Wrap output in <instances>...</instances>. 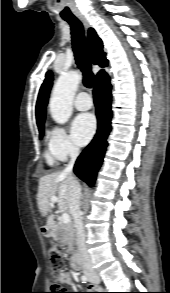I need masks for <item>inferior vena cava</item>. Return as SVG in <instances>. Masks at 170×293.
Returning <instances> with one entry per match:
<instances>
[{"mask_svg":"<svg viewBox=\"0 0 170 293\" xmlns=\"http://www.w3.org/2000/svg\"><path fill=\"white\" fill-rule=\"evenodd\" d=\"M79 155V148L73 146L70 150V161L67 167L64 169L63 174L68 176L70 180V193H71V203H72V215L74 218L75 228H76V237H77V245L78 252L81 257V262L83 269L86 271H90L93 269V264L91 258L88 254L87 247L85 244V230L82 220V212L80 208V199H81V186L73 177V166L75 161Z\"/></svg>","mask_w":170,"mask_h":293,"instance_id":"1","label":"inferior vena cava"}]
</instances>
